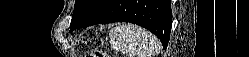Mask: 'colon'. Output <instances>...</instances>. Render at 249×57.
<instances>
[{"mask_svg":"<svg viewBox=\"0 0 249 57\" xmlns=\"http://www.w3.org/2000/svg\"><path fill=\"white\" fill-rule=\"evenodd\" d=\"M87 57H105V54L99 50H92Z\"/></svg>","mask_w":249,"mask_h":57,"instance_id":"obj_1","label":"colon"}]
</instances>
